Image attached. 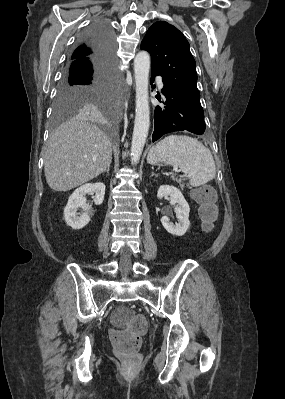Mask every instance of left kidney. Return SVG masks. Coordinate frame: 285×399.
I'll use <instances>...</instances> for the list:
<instances>
[{
	"label": "left kidney",
	"mask_w": 285,
	"mask_h": 399,
	"mask_svg": "<svg viewBox=\"0 0 285 399\" xmlns=\"http://www.w3.org/2000/svg\"><path fill=\"white\" fill-rule=\"evenodd\" d=\"M170 197V204L174 205V211L178 219L176 225L172 224L167 216L161 218L163 227L172 235L183 236L189 228L190 207L181 191L174 186L162 185L157 192V198Z\"/></svg>",
	"instance_id": "left-kidney-1"
}]
</instances>
